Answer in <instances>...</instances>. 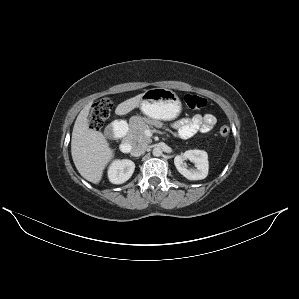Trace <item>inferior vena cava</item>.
<instances>
[{"mask_svg": "<svg viewBox=\"0 0 299 299\" xmlns=\"http://www.w3.org/2000/svg\"><path fill=\"white\" fill-rule=\"evenodd\" d=\"M147 149H148L147 144H139L133 147V149L131 150V155L134 157L141 156L147 151Z\"/></svg>", "mask_w": 299, "mask_h": 299, "instance_id": "obj_1", "label": "inferior vena cava"}]
</instances>
